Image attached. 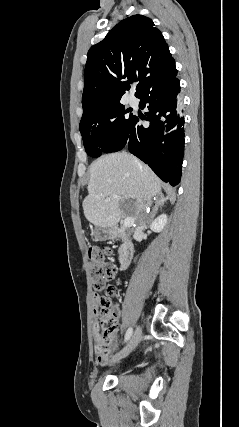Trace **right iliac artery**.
Returning a JSON list of instances; mask_svg holds the SVG:
<instances>
[{
    "label": "right iliac artery",
    "instance_id": "right-iliac-artery-1",
    "mask_svg": "<svg viewBox=\"0 0 239 427\" xmlns=\"http://www.w3.org/2000/svg\"><path fill=\"white\" fill-rule=\"evenodd\" d=\"M132 333H133V329H132V328H129V329L127 330L126 334H125V342H126V341H128V340L131 338Z\"/></svg>",
    "mask_w": 239,
    "mask_h": 427
}]
</instances>
